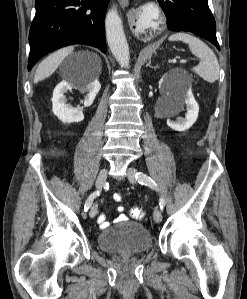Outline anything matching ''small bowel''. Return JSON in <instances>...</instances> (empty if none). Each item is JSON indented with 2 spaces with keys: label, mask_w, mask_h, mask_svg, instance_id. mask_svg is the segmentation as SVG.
<instances>
[{
  "label": "small bowel",
  "mask_w": 247,
  "mask_h": 299,
  "mask_svg": "<svg viewBox=\"0 0 247 299\" xmlns=\"http://www.w3.org/2000/svg\"><path fill=\"white\" fill-rule=\"evenodd\" d=\"M113 200L114 201H116V202H120L121 200H122V197H121V195L119 194V193H115L114 195H113ZM117 210L119 211V212H122L123 210H124V208L122 207V206H119L118 208H117ZM127 219V217H126V215H124V214H120L118 217H117V221H124V220H126ZM98 223H99V226H100V228H106V227H108L109 225H110V222L106 219V216H105V214H100L99 216H98Z\"/></svg>",
  "instance_id": "1"
}]
</instances>
